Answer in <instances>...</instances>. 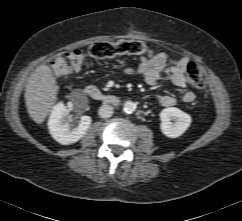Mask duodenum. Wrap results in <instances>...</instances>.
Segmentation results:
<instances>
[{"label":"duodenum","instance_id":"1","mask_svg":"<svg viewBox=\"0 0 242 221\" xmlns=\"http://www.w3.org/2000/svg\"><path fill=\"white\" fill-rule=\"evenodd\" d=\"M84 92L87 96L96 101L104 102L110 105H115L118 103V98L115 95L105 93L95 86L86 87Z\"/></svg>","mask_w":242,"mask_h":221}]
</instances>
